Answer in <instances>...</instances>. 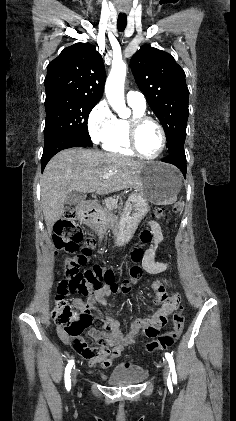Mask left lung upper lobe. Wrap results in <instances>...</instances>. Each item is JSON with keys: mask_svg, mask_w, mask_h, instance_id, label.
<instances>
[{"mask_svg": "<svg viewBox=\"0 0 236 421\" xmlns=\"http://www.w3.org/2000/svg\"><path fill=\"white\" fill-rule=\"evenodd\" d=\"M139 89L164 128L168 153L184 149L189 90L184 70L167 52L141 46L130 61Z\"/></svg>", "mask_w": 236, "mask_h": 421, "instance_id": "1", "label": "left lung upper lobe"}]
</instances>
